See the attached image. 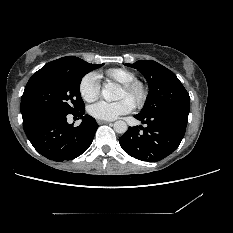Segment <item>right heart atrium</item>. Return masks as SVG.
<instances>
[{
  "label": "right heart atrium",
  "instance_id": "d8ad5b80",
  "mask_svg": "<svg viewBox=\"0 0 233 233\" xmlns=\"http://www.w3.org/2000/svg\"><path fill=\"white\" fill-rule=\"evenodd\" d=\"M79 93L87 102L96 100L100 95V84L97 75L94 73L86 74L80 81Z\"/></svg>",
  "mask_w": 233,
  "mask_h": 233
}]
</instances>
